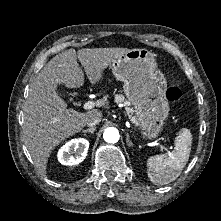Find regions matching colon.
Masks as SVG:
<instances>
[{
    "label": "colon",
    "mask_w": 221,
    "mask_h": 221,
    "mask_svg": "<svg viewBox=\"0 0 221 221\" xmlns=\"http://www.w3.org/2000/svg\"><path fill=\"white\" fill-rule=\"evenodd\" d=\"M183 96L179 81L174 79L171 86L165 92V100L168 104L174 105L181 101Z\"/></svg>",
    "instance_id": "colon-1"
}]
</instances>
